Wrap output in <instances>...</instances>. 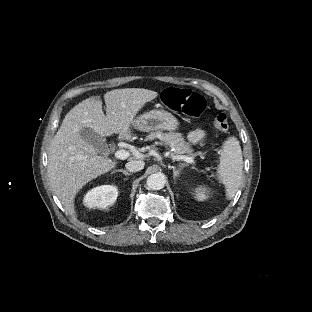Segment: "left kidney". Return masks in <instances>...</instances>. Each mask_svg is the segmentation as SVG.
I'll return each mask as SVG.
<instances>
[{
	"instance_id": "5707ae66",
	"label": "left kidney",
	"mask_w": 312,
	"mask_h": 312,
	"mask_svg": "<svg viewBox=\"0 0 312 312\" xmlns=\"http://www.w3.org/2000/svg\"><path fill=\"white\" fill-rule=\"evenodd\" d=\"M206 188H197L196 189V199L199 200V201H203L205 199L208 198V196L206 195Z\"/></svg>"
}]
</instances>
